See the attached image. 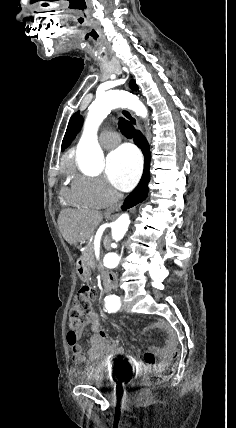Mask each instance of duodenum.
<instances>
[{"instance_id": "1", "label": "duodenum", "mask_w": 236, "mask_h": 428, "mask_svg": "<svg viewBox=\"0 0 236 428\" xmlns=\"http://www.w3.org/2000/svg\"><path fill=\"white\" fill-rule=\"evenodd\" d=\"M83 260L81 258H79L77 260V265L78 267H83ZM117 285V277L115 274L113 273H109L107 274L106 278H105V282H104V292L106 294V296H110L113 292V290L116 288Z\"/></svg>"}]
</instances>
